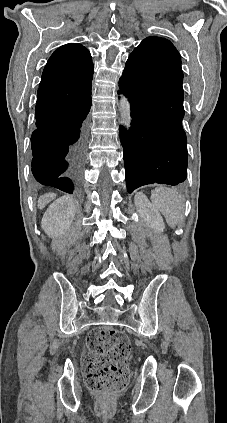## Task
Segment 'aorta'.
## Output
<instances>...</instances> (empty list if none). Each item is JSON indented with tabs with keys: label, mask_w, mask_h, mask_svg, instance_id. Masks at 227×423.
I'll return each mask as SVG.
<instances>
[{
	"label": "aorta",
	"mask_w": 227,
	"mask_h": 423,
	"mask_svg": "<svg viewBox=\"0 0 227 423\" xmlns=\"http://www.w3.org/2000/svg\"><path fill=\"white\" fill-rule=\"evenodd\" d=\"M120 119L121 123L126 127L129 128L131 125V108L130 103L127 97L122 96L120 100Z\"/></svg>",
	"instance_id": "obj_1"
}]
</instances>
